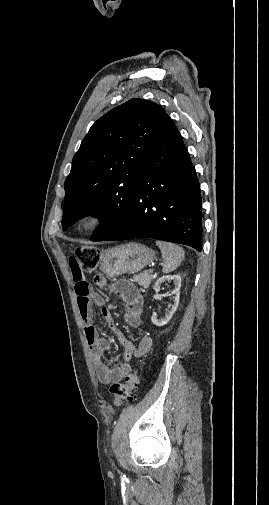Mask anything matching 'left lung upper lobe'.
Wrapping results in <instances>:
<instances>
[{"label": "left lung upper lobe", "mask_w": 269, "mask_h": 505, "mask_svg": "<svg viewBox=\"0 0 269 505\" xmlns=\"http://www.w3.org/2000/svg\"><path fill=\"white\" fill-rule=\"evenodd\" d=\"M165 116L158 104L135 98L92 125L65 180L63 229L97 214L101 223L92 240H99L124 223L146 155Z\"/></svg>", "instance_id": "obj_1"}]
</instances>
